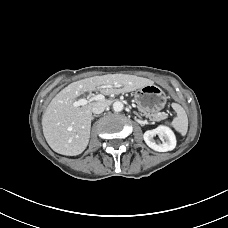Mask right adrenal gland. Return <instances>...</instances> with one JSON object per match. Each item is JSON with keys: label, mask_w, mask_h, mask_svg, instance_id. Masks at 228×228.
<instances>
[{"label": "right adrenal gland", "mask_w": 228, "mask_h": 228, "mask_svg": "<svg viewBox=\"0 0 228 228\" xmlns=\"http://www.w3.org/2000/svg\"><path fill=\"white\" fill-rule=\"evenodd\" d=\"M98 116H99V115H93L91 119L94 120V118H95V117H98Z\"/></svg>", "instance_id": "2a0ac1e0"}]
</instances>
